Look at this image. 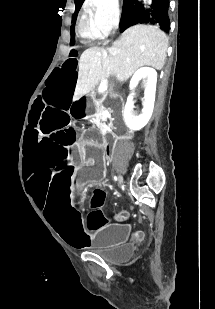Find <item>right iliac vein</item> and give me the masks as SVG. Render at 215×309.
Here are the masks:
<instances>
[{
	"label": "right iliac vein",
	"mask_w": 215,
	"mask_h": 309,
	"mask_svg": "<svg viewBox=\"0 0 215 309\" xmlns=\"http://www.w3.org/2000/svg\"><path fill=\"white\" fill-rule=\"evenodd\" d=\"M119 182H120V184H122V178H121V176H119Z\"/></svg>",
	"instance_id": "obj_1"
}]
</instances>
